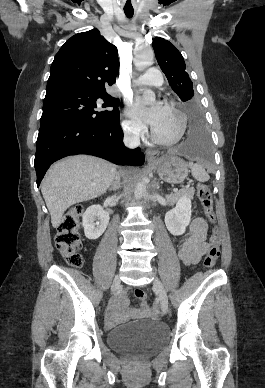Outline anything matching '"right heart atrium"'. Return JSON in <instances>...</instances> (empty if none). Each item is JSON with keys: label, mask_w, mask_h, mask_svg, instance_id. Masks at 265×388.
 <instances>
[{"label": "right heart atrium", "mask_w": 265, "mask_h": 388, "mask_svg": "<svg viewBox=\"0 0 265 388\" xmlns=\"http://www.w3.org/2000/svg\"><path fill=\"white\" fill-rule=\"evenodd\" d=\"M126 130L132 137L140 138L145 135L146 128L142 124V122L134 119V118H128L125 121Z\"/></svg>", "instance_id": "right-heart-atrium-1"}]
</instances>
